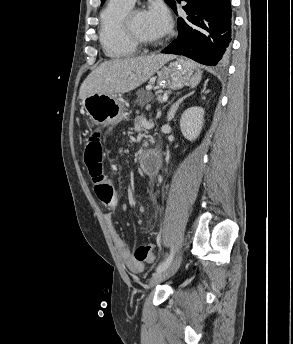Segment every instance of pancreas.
<instances>
[{"instance_id": "cf45deb5", "label": "pancreas", "mask_w": 293, "mask_h": 344, "mask_svg": "<svg viewBox=\"0 0 293 344\" xmlns=\"http://www.w3.org/2000/svg\"><path fill=\"white\" fill-rule=\"evenodd\" d=\"M151 98H152V95L150 93H148L146 100H149ZM142 120H143V117L139 116V117L136 118V123L141 125Z\"/></svg>"}]
</instances>
